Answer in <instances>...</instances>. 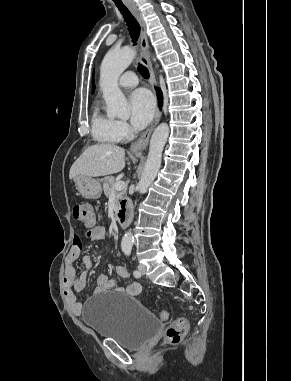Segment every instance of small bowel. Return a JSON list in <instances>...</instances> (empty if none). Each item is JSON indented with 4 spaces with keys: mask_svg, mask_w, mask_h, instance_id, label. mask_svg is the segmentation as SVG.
<instances>
[{
    "mask_svg": "<svg viewBox=\"0 0 291 381\" xmlns=\"http://www.w3.org/2000/svg\"><path fill=\"white\" fill-rule=\"evenodd\" d=\"M86 237L91 241H102L105 239V231L102 227L96 226L86 233ZM81 242L79 239H75L67 257L64 271V278L62 283V291L64 297L73 314L79 315L82 312L83 306L77 300L76 294L83 292L86 288L87 277L83 273L77 277L75 262L80 257ZM82 264L88 268L92 262L88 256L82 257ZM117 275L122 279H127L129 273L127 269L122 265L115 267ZM108 291L126 293L127 295L136 296L141 292V285L137 281H129L126 286L119 285L116 281L109 279L106 275H100L97 279V286L95 293H104Z\"/></svg>",
    "mask_w": 291,
    "mask_h": 381,
    "instance_id": "obj_1",
    "label": "small bowel"
}]
</instances>
